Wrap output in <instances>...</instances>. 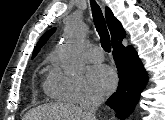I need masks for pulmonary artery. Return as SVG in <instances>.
Masks as SVG:
<instances>
[{"label":"pulmonary artery","instance_id":"obj_1","mask_svg":"<svg viewBox=\"0 0 165 120\" xmlns=\"http://www.w3.org/2000/svg\"><path fill=\"white\" fill-rule=\"evenodd\" d=\"M87 57L92 62H100L104 59V53L99 46H93L88 50Z\"/></svg>","mask_w":165,"mask_h":120}]
</instances>
